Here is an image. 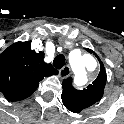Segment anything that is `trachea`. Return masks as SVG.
<instances>
[{
  "label": "trachea",
  "mask_w": 124,
  "mask_h": 124,
  "mask_svg": "<svg viewBox=\"0 0 124 124\" xmlns=\"http://www.w3.org/2000/svg\"><path fill=\"white\" fill-rule=\"evenodd\" d=\"M65 61H66L65 56L62 54H59L53 60V65L55 68L61 69L65 65Z\"/></svg>",
  "instance_id": "trachea-1"
}]
</instances>
